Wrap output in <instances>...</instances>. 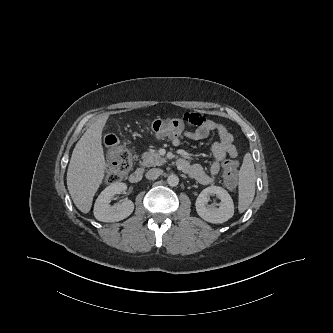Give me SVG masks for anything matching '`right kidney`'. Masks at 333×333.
Here are the masks:
<instances>
[{
	"mask_svg": "<svg viewBox=\"0 0 333 333\" xmlns=\"http://www.w3.org/2000/svg\"><path fill=\"white\" fill-rule=\"evenodd\" d=\"M126 189L124 183H113L106 187L96 199L93 211L95 218L102 222H116L130 216L134 210L132 201L126 200L120 204L110 205L111 198Z\"/></svg>",
	"mask_w": 333,
	"mask_h": 333,
	"instance_id": "ca27d5eb",
	"label": "right kidney"
}]
</instances>
